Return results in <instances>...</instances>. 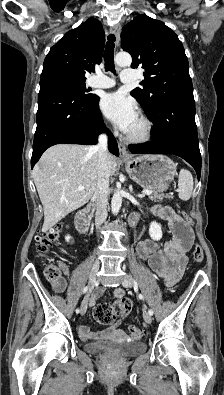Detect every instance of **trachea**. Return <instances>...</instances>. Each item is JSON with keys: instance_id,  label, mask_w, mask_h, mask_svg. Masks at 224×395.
Here are the masks:
<instances>
[{"instance_id": "obj_1", "label": "trachea", "mask_w": 224, "mask_h": 395, "mask_svg": "<svg viewBox=\"0 0 224 395\" xmlns=\"http://www.w3.org/2000/svg\"><path fill=\"white\" fill-rule=\"evenodd\" d=\"M115 36L114 34H110L108 36V41L106 43V48L104 51V61H105V70L111 71L115 73V66H114V47H115Z\"/></svg>"}]
</instances>
